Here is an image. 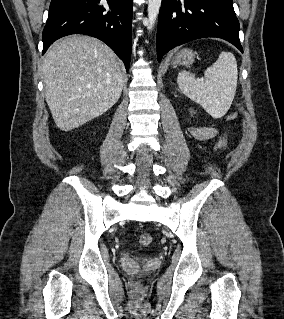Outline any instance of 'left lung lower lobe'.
Wrapping results in <instances>:
<instances>
[{
  "mask_svg": "<svg viewBox=\"0 0 284 319\" xmlns=\"http://www.w3.org/2000/svg\"><path fill=\"white\" fill-rule=\"evenodd\" d=\"M239 29L232 0H162L157 59L176 46L205 37L222 38L243 52Z\"/></svg>",
  "mask_w": 284,
  "mask_h": 319,
  "instance_id": "left-lung-lower-lobe-1",
  "label": "left lung lower lobe"
}]
</instances>
